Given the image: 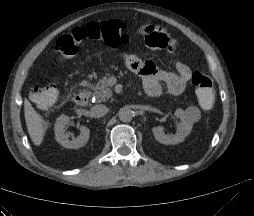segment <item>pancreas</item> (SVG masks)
<instances>
[{"instance_id":"cf45deb5","label":"pancreas","mask_w":254,"mask_h":216,"mask_svg":"<svg viewBox=\"0 0 254 216\" xmlns=\"http://www.w3.org/2000/svg\"><path fill=\"white\" fill-rule=\"evenodd\" d=\"M90 88L93 90V96L96 97L97 102L106 101L112 96L107 77L102 78L95 86H90Z\"/></svg>"}]
</instances>
